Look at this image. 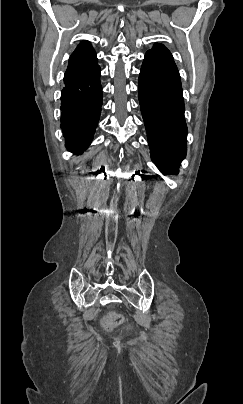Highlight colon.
Segmentation results:
<instances>
[{
  "label": "colon",
  "mask_w": 243,
  "mask_h": 404,
  "mask_svg": "<svg viewBox=\"0 0 243 404\" xmlns=\"http://www.w3.org/2000/svg\"><path fill=\"white\" fill-rule=\"evenodd\" d=\"M110 323L112 324H120L123 322V317L119 314H112L109 319Z\"/></svg>",
  "instance_id": "5ec220e1"
}]
</instances>
